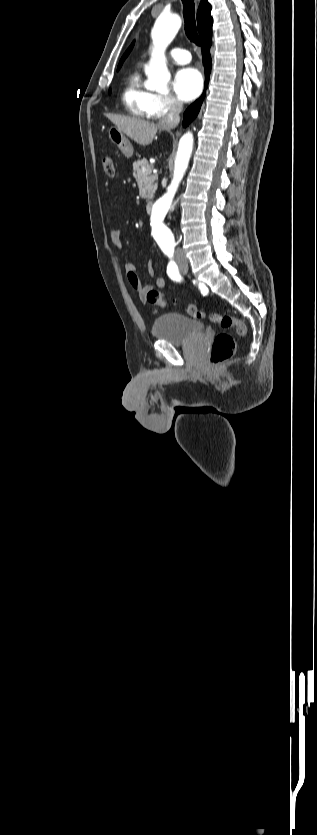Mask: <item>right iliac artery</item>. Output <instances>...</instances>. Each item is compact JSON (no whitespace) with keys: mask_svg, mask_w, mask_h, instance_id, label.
<instances>
[{"mask_svg":"<svg viewBox=\"0 0 317 835\" xmlns=\"http://www.w3.org/2000/svg\"><path fill=\"white\" fill-rule=\"evenodd\" d=\"M167 274L174 281L180 282L182 279L178 267L173 260H170V262L168 263Z\"/></svg>","mask_w":317,"mask_h":835,"instance_id":"1","label":"right iliac artery"}]
</instances>
